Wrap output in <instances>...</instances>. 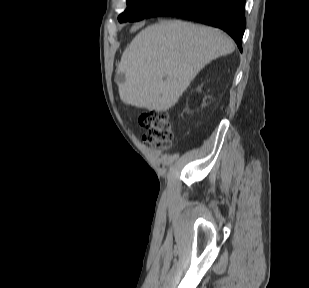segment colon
<instances>
[{"label":"colon","mask_w":309,"mask_h":288,"mask_svg":"<svg viewBox=\"0 0 309 288\" xmlns=\"http://www.w3.org/2000/svg\"><path fill=\"white\" fill-rule=\"evenodd\" d=\"M139 123L147 129L143 143L151 149L168 150L173 142L174 131L166 110H147L139 115Z\"/></svg>","instance_id":"5ec220e1"}]
</instances>
